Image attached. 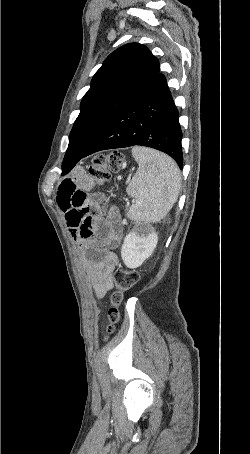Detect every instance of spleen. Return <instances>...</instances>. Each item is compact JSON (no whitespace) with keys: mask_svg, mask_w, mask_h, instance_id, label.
<instances>
[{"mask_svg":"<svg viewBox=\"0 0 250 454\" xmlns=\"http://www.w3.org/2000/svg\"><path fill=\"white\" fill-rule=\"evenodd\" d=\"M132 155L139 167L126 189L136 199L127 217L135 222H159L178 199L179 168L169 156L146 147H133Z\"/></svg>","mask_w":250,"mask_h":454,"instance_id":"3e777b00","label":"spleen"}]
</instances>
